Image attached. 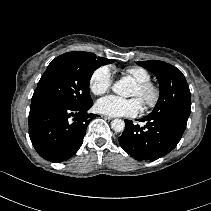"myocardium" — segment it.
Wrapping results in <instances>:
<instances>
[{
    "mask_svg": "<svg viewBox=\"0 0 211 211\" xmlns=\"http://www.w3.org/2000/svg\"><path fill=\"white\" fill-rule=\"evenodd\" d=\"M136 86L142 94V104L145 109L155 108L161 99V89L159 85L151 81L138 82Z\"/></svg>",
    "mask_w": 211,
    "mask_h": 211,
    "instance_id": "f54148a6",
    "label": "myocardium"
}]
</instances>
